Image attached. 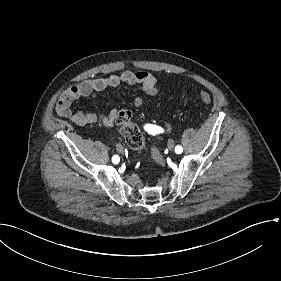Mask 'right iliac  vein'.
Listing matches in <instances>:
<instances>
[{
	"label": "right iliac vein",
	"mask_w": 281,
	"mask_h": 281,
	"mask_svg": "<svg viewBox=\"0 0 281 281\" xmlns=\"http://www.w3.org/2000/svg\"><path fill=\"white\" fill-rule=\"evenodd\" d=\"M116 150H117V152H119V153H123V151H124L122 145H120V144H117V145H116Z\"/></svg>",
	"instance_id": "right-iliac-vein-1"
}]
</instances>
